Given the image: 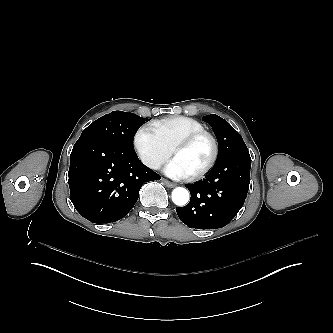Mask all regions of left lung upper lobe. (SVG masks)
<instances>
[{
    "label": "left lung upper lobe",
    "instance_id": "left-lung-upper-lobe-1",
    "mask_svg": "<svg viewBox=\"0 0 333 333\" xmlns=\"http://www.w3.org/2000/svg\"><path fill=\"white\" fill-rule=\"evenodd\" d=\"M202 120L212 126L218 140L219 152L216 163L236 152L248 150L241 135L223 118L210 114Z\"/></svg>",
    "mask_w": 333,
    "mask_h": 333
}]
</instances>
